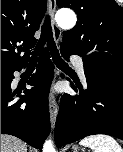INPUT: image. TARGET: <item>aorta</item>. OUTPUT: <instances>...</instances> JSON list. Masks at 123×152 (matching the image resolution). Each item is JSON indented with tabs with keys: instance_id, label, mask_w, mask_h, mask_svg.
Returning a JSON list of instances; mask_svg holds the SVG:
<instances>
[{
	"instance_id": "1",
	"label": "aorta",
	"mask_w": 123,
	"mask_h": 152,
	"mask_svg": "<svg viewBox=\"0 0 123 152\" xmlns=\"http://www.w3.org/2000/svg\"><path fill=\"white\" fill-rule=\"evenodd\" d=\"M76 15L71 10H60L56 14L57 24L63 29H71L76 24ZM43 152H55L51 141H46L43 146Z\"/></svg>"
}]
</instances>
